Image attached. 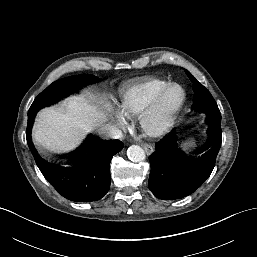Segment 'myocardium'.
<instances>
[{"label":"myocardium","instance_id":"f54148a6","mask_svg":"<svg viewBox=\"0 0 257 257\" xmlns=\"http://www.w3.org/2000/svg\"><path fill=\"white\" fill-rule=\"evenodd\" d=\"M173 87H178L181 90V98L177 104L166 108L164 106V97L167 91ZM185 101L186 91L181 84L170 82L164 85L141 112L139 124L142 132L150 138H157L167 133L184 106Z\"/></svg>","mask_w":257,"mask_h":257}]
</instances>
